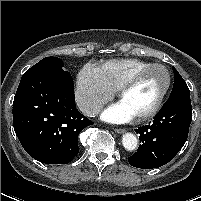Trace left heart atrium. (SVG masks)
Segmentation results:
<instances>
[{"label": "left heart atrium", "mask_w": 201, "mask_h": 201, "mask_svg": "<svg viewBox=\"0 0 201 201\" xmlns=\"http://www.w3.org/2000/svg\"><path fill=\"white\" fill-rule=\"evenodd\" d=\"M134 117L132 112L121 101L110 106L102 114V118L111 123H125Z\"/></svg>", "instance_id": "39dd6f15"}]
</instances>
